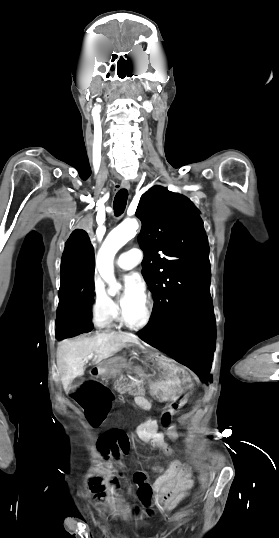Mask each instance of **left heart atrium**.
I'll return each mask as SVG.
<instances>
[{"mask_svg": "<svg viewBox=\"0 0 279 538\" xmlns=\"http://www.w3.org/2000/svg\"><path fill=\"white\" fill-rule=\"evenodd\" d=\"M144 288L141 281L132 275L125 277V291L123 300H127L132 297L143 298Z\"/></svg>", "mask_w": 279, "mask_h": 538, "instance_id": "39dd6f15", "label": "left heart atrium"}]
</instances>
